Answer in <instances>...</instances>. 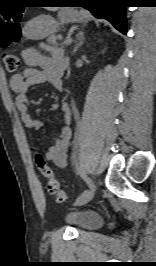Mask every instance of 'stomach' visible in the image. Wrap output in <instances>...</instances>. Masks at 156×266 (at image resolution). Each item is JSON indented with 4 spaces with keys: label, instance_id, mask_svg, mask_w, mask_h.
I'll list each match as a JSON object with an SVG mask.
<instances>
[{
    "label": "stomach",
    "instance_id": "obj_1",
    "mask_svg": "<svg viewBox=\"0 0 156 266\" xmlns=\"http://www.w3.org/2000/svg\"><path fill=\"white\" fill-rule=\"evenodd\" d=\"M57 21L50 15H40L27 23L23 29L24 35L32 40H43L56 33L60 25L72 22H82L84 14L73 8H62Z\"/></svg>",
    "mask_w": 156,
    "mask_h": 266
}]
</instances>
